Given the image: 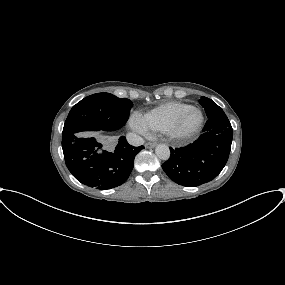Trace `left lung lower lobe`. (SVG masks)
<instances>
[{
    "label": "left lung lower lobe",
    "mask_w": 285,
    "mask_h": 285,
    "mask_svg": "<svg viewBox=\"0 0 285 285\" xmlns=\"http://www.w3.org/2000/svg\"><path fill=\"white\" fill-rule=\"evenodd\" d=\"M232 143V127L226 115L208 118L200 137L182 148H170L162 168L179 185L195 187L213 180L224 168Z\"/></svg>",
    "instance_id": "0a47b994"
}]
</instances>
